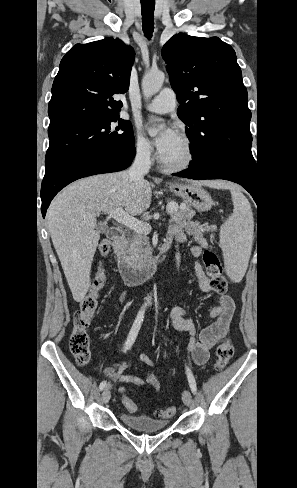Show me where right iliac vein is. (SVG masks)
Instances as JSON below:
<instances>
[{"instance_id":"obj_1","label":"right iliac vein","mask_w":297,"mask_h":488,"mask_svg":"<svg viewBox=\"0 0 297 488\" xmlns=\"http://www.w3.org/2000/svg\"><path fill=\"white\" fill-rule=\"evenodd\" d=\"M110 397H111V392L109 389H105L102 393V397H101V400L103 403H108L109 400H110Z\"/></svg>"}]
</instances>
